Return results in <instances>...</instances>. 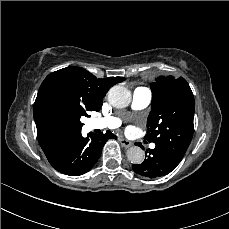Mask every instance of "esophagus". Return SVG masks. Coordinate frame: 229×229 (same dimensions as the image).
I'll use <instances>...</instances> for the list:
<instances>
[{
	"mask_svg": "<svg viewBox=\"0 0 229 229\" xmlns=\"http://www.w3.org/2000/svg\"><path fill=\"white\" fill-rule=\"evenodd\" d=\"M120 144L124 147V148H129L132 146V142L125 139V138H120Z\"/></svg>",
	"mask_w": 229,
	"mask_h": 229,
	"instance_id": "34e87169",
	"label": "esophagus"
}]
</instances>
